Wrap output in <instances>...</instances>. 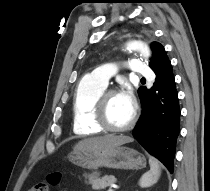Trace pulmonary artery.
<instances>
[{"instance_id": "pulmonary-artery-1", "label": "pulmonary artery", "mask_w": 210, "mask_h": 191, "mask_svg": "<svg viewBox=\"0 0 210 191\" xmlns=\"http://www.w3.org/2000/svg\"><path fill=\"white\" fill-rule=\"evenodd\" d=\"M135 74L144 77L152 75L151 70L139 60H129L126 64ZM117 72L116 64L108 63L97 67L87 74V78L104 86L108 85L110 78Z\"/></svg>"}]
</instances>
